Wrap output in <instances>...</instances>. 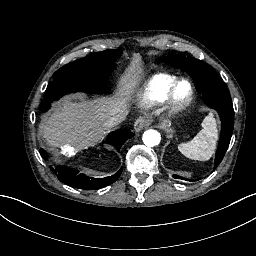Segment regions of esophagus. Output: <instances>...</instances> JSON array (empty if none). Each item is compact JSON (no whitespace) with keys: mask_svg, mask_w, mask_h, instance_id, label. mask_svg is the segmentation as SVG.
<instances>
[{"mask_svg":"<svg viewBox=\"0 0 256 256\" xmlns=\"http://www.w3.org/2000/svg\"><path fill=\"white\" fill-rule=\"evenodd\" d=\"M147 125V120L144 118H138L134 123V130L140 132Z\"/></svg>","mask_w":256,"mask_h":256,"instance_id":"obj_1","label":"esophagus"}]
</instances>
